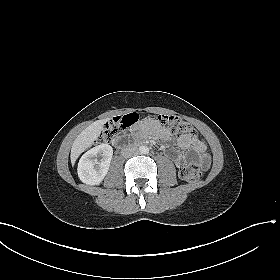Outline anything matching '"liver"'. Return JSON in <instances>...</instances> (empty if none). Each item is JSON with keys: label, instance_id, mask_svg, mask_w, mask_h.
I'll return each mask as SVG.
<instances>
[{"label": "liver", "instance_id": "1", "mask_svg": "<svg viewBox=\"0 0 280 280\" xmlns=\"http://www.w3.org/2000/svg\"><path fill=\"white\" fill-rule=\"evenodd\" d=\"M108 119L97 120L86 127L74 140L71 148V163L75 164V161L81 153H83L88 147H90L95 140H97L103 126Z\"/></svg>", "mask_w": 280, "mask_h": 280}]
</instances>
